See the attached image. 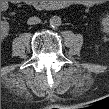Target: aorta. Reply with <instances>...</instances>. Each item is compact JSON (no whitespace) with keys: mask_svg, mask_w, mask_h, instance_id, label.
Wrapping results in <instances>:
<instances>
[{"mask_svg":"<svg viewBox=\"0 0 109 109\" xmlns=\"http://www.w3.org/2000/svg\"><path fill=\"white\" fill-rule=\"evenodd\" d=\"M61 18L59 16H52L49 20L51 27L57 28L61 25Z\"/></svg>","mask_w":109,"mask_h":109,"instance_id":"obj_1","label":"aorta"}]
</instances>
